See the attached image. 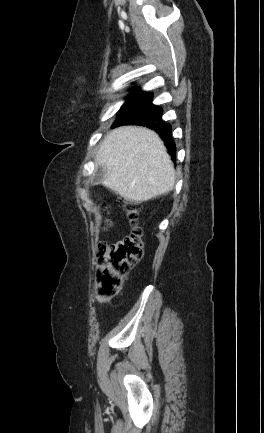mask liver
I'll return each instance as SVG.
<instances>
[{
    "label": "liver",
    "instance_id": "6515ba94",
    "mask_svg": "<svg viewBox=\"0 0 264 433\" xmlns=\"http://www.w3.org/2000/svg\"><path fill=\"white\" fill-rule=\"evenodd\" d=\"M95 161L104 167L103 185L142 203L174 188L175 169L159 135L145 127L122 126L107 133Z\"/></svg>",
    "mask_w": 264,
    "mask_h": 433
}]
</instances>
